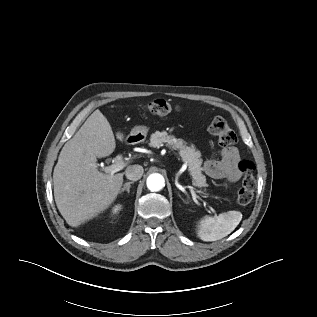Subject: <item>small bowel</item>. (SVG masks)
I'll return each mask as SVG.
<instances>
[{
	"label": "small bowel",
	"instance_id": "c3829d8e",
	"mask_svg": "<svg viewBox=\"0 0 317 317\" xmlns=\"http://www.w3.org/2000/svg\"><path fill=\"white\" fill-rule=\"evenodd\" d=\"M239 151L235 146L222 149L219 159L206 161L203 169L207 176L216 180L234 183L239 180Z\"/></svg>",
	"mask_w": 317,
	"mask_h": 317
}]
</instances>
